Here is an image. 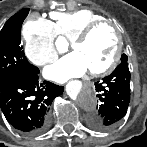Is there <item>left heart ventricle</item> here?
<instances>
[{
	"label": "left heart ventricle",
	"instance_id": "b2bd125f",
	"mask_svg": "<svg viewBox=\"0 0 147 147\" xmlns=\"http://www.w3.org/2000/svg\"><path fill=\"white\" fill-rule=\"evenodd\" d=\"M117 46V38L110 27L95 30L83 43L72 49L84 60L89 71L100 70L110 63Z\"/></svg>",
	"mask_w": 147,
	"mask_h": 147
}]
</instances>
